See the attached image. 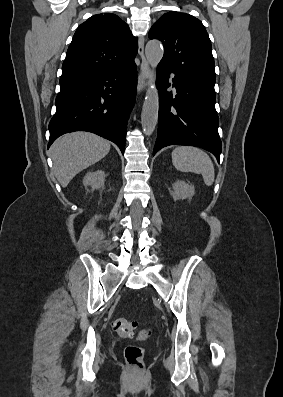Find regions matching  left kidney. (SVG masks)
<instances>
[{
	"label": "left kidney",
	"instance_id": "1",
	"mask_svg": "<svg viewBox=\"0 0 283 397\" xmlns=\"http://www.w3.org/2000/svg\"><path fill=\"white\" fill-rule=\"evenodd\" d=\"M174 189V194L173 198L174 200L178 199H186V198H192L195 194V188L191 184H187L183 181H176L173 185Z\"/></svg>",
	"mask_w": 283,
	"mask_h": 397
}]
</instances>
